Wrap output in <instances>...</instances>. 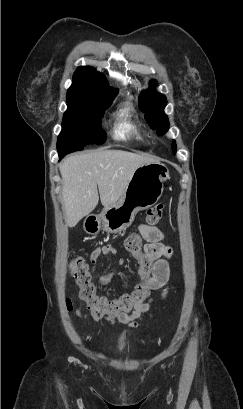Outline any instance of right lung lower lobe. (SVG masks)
Returning a JSON list of instances; mask_svg holds the SVG:
<instances>
[{"label":"right lung lower lobe","mask_w":243,"mask_h":409,"mask_svg":"<svg viewBox=\"0 0 243 409\" xmlns=\"http://www.w3.org/2000/svg\"><path fill=\"white\" fill-rule=\"evenodd\" d=\"M65 156V155H64ZM63 155H59L60 160L64 157Z\"/></svg>","instance_id":"right-lung-lower-lobe-1"}]
</instances>
